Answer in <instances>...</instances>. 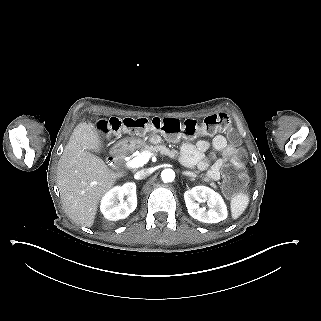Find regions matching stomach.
Segmentation results:
<instances>
[{
  "mask_svg": "<svg viewBox=\"0 0 321 321\" xmlns=\"http://www.w3.org/2000/svg\"><path fill=\"white\" fill-rule=\"evenodd\" d=\"M140 141V142H138ZM145 141L139 137H127L124 139L119 140L116 144H115V148L117 149H121L124 148V146H127L129 144H133V145H141L144 144Z\"/></svg>",
  "mask_w": 321,
  "mask_h": 321,
  "instance_id": "obj_1",
  "label": "stomach"
}]
</instances>
